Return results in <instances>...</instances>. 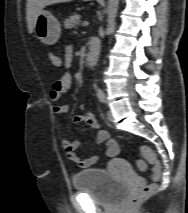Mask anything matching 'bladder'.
<instances>
[{
	"label": "bladder",
	"mask_w": 188,
	"mask_h": 213,
	"mask_svg": "<svg viewBox=\"0 0 188 213\" xmlns=\"http://www.w3.org/2000/svg\"><path fill=\"white\" fill-rule=\"evenodd\" d=\"M73 186L87 194L98 205L112 207L127 193L126 182L113 178L102 168L85 169L73 176Z\"/></svg>",
	"instance_id": "31cf9c89"
}]
</instances>
